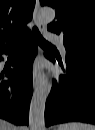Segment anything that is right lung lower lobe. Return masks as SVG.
Returning a JSON list of instances; mask_svg holds the SVG:
<instances>
[{
    "mask_svg": "<svg viewBox=\"0 0 95 130\" xmlns=\"http://www.w3.org/2000/svg\"><path fill=\"white\" fill-rule=\"evenodd\" d=\"M18 47L13 58L14 70L0 71V117L14 124L29 122V104L32 96V62L37 54V45L31 33L16 44L0 50L9 53Z\"/></svg>",
    "mask_w": 95,
    "mask_h": 130,
    "instance_id": "1",
    "label": "right lung lower lobe"
}]
</instances>
